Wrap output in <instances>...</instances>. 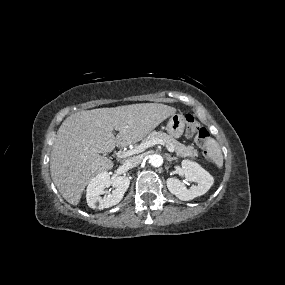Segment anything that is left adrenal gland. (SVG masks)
Segmentation results:
<instances>
[{"label": "left adrenal gland", "instance_id": "obj_1", "mask_svg": "<svg viewBox=\"0 0 285 285\" xmlns=\"http://www.w3.org/2000/svg\"><path fill=\"white\" fill-rule=\"evenodd\" d=\"M168 161H174V160H177L178 158L177 157H171V156H168L167 157Z\"/></svg>", "mask_w": 285, "mask_h": 285}]
</instances>
